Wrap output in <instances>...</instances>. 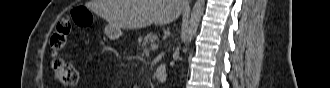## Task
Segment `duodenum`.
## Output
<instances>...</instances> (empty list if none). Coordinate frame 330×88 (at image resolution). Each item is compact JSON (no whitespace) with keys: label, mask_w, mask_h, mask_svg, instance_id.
<instances>
[{"label":"duodenum","mask_w":330,"mask_h":88,"mask_svg":"<svg viewBox=\"0 0 330 88\" xmlns=\"http://www.w3.org/2000/svg\"><path fill=\"white\" fill-rule=\"evenodd\" d=\"M154 72L157 80L163 81L166 78L167 69L164 65L157 66Z\"/></svg>","instance_id":"obj_1"}]
</instances>
